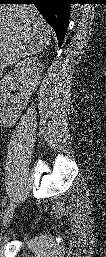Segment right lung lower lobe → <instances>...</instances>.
I'll return each mask as SVG.
<instances>
[{"label": "right lung lower lobe", "mask_w": 106, "mask_h": 257, "mask_svg": "<svg viewBox=\"0 0 106 257\" xmlns=\"http://www.w3.org/2000/svg\"><path fill=\"white\" fill-rule=\"evenodd\" d=\"M0 3L34 4L44 19L54 29L58 45L61 47L67 31L71 4L74 3L73 0H0Z\"/></svg>", "instance_id": "1"}]
</instances>
